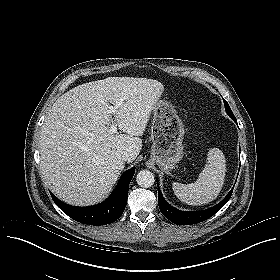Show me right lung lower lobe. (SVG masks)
Here are the masks:
<instances>
[{"label":"right lung lower lobe","instance_id":"right-lung-lower-lobe-1","mask_svg":"<svg viewBox=\"0 0 280 280\" xmlns=\"http://www.w3.org/2000/svg\"><path fill=\"white\" fill-rule=\"evenodd\" d=\"M135 173V167L125 171L112 194L102 203L89 207L68 205L53 194L55 204L70 218L90 225H105L116 221L124 212L130 181Z\"/></svg>","mask_w":280,"mask_h":280}]
</instances>
